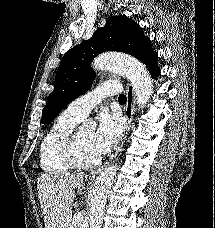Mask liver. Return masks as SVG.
I'll list each match as a JSON object with an SVG mask.
<instances>
[{
	"label": "liver",
	"mask_w": 215,
	"mask_h": 228,
	"mask_svg": "<svg viewBox=\"0 0 215 228\" xmlns=\"http://www.w3.org/2000/svg\"><path fill=\"white\" fill-rule=\"evenodd\" d=\"M81 174H41L37 180L38 198L45 228H71L75 188L82 186Z\"/></svg>",
	"instance_id": "1"
}]
</instances>
